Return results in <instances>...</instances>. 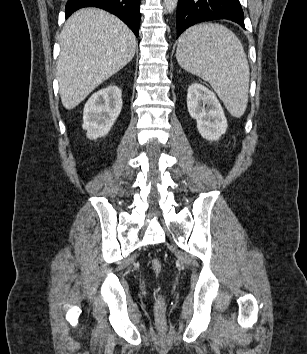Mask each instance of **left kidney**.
<instances>
[{"instance_id": "1", "label": "left kidney", "mask_w": 307, "mask_h": 354, "mask_svg": "<svg viewBox=\"0 0 307 354\" xmlns=\"http://www.w3.org/2000/svg\"><path fill=\"white\" fill-rule=\"evenodd\" d=\"M187 108L190 116L196 120L201 136L216 141L227 130V119L223 108L215 96L205 86L193 83L188 88Z\"/></svg>"}]
</instances>
